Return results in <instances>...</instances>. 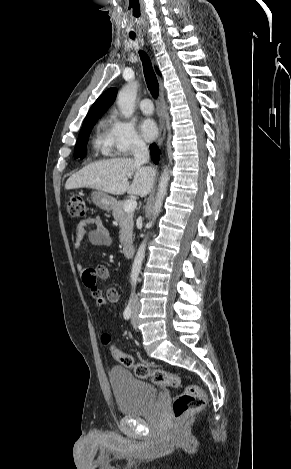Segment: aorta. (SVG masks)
<instances>
[{"mask_svg": "<svg viewBox=\"0 0 291 469\" xmlns=\"http://www.w3.org/2000/svg\"><path fill=\"white\" fill-rule=\"evenodd\" d=\"M137 89H138V84L134 82V83L123 86L122 89L118 93L117 104H118L121 114L125 118L131 117L132 114L134 113ZM169 179H170L169 171H168V168L165 167L160 177L158 191L156 194L155 205L153 208V220L149 223V227L153 225L154 220L156 219V217L159 215L161 211L162 203L167 193V186H168ZM146 242H147V238H145L143 242L141 243V245L139 246V249L136 253V256L132 265L131 275H130L132 286L133 285L135 286L138 280V275L140 273L142 262L145 256Z\"/></svg>", "mask_w": 291, "mask_h": 469, "instance_id": "obj_1", "label": "aorta"}]
</instances>
